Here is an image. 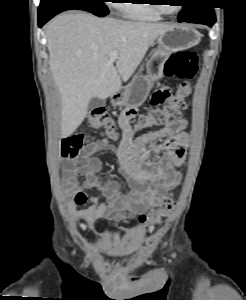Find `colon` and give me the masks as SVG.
I'll return each instance as SVG.
<instances>
[{
  "instance_id": "5ec220e1",
  "label": "colon",
  "mask_w": 246,
  "mask_h": 300,
  "mask_svg": "<svg viewBox=\"0 0 246 300\" xmlns=\"http://www.w3.org/2000/svg\"><path fill=\"white\" fill-rule=\"evenodd\" d=\"M198 72V57L191 51H181L168 58L164 65V75L170 78L187 80L181 83L176 92L169 96L160 92L154 93L151 102L154 105L149 111L140 114L134 121V128L141 130L154 124L181 119V111L186 108L185 99L191 93L189 80L196 77ZM87 124L93 129L101 130L107 139H115L118 132L108 111L95 108L91 111ZM85 145V137L81 134L73 135L65 140L62 146L63 156L76 157ZM175 207V199L164 196L158 207L142 214L139 221L144 225H157L170 216Z\"/></svg>"
}]
</instances>
